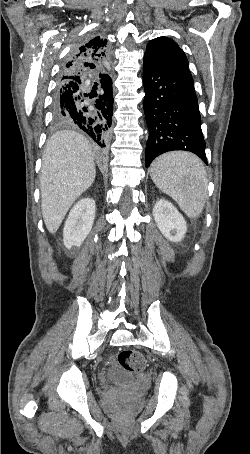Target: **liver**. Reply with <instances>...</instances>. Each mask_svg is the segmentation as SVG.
Wrapping results in <instances>:
<instances>
[{"label":"liver","mask_w":250,"mask_h":454,"mask_svg":"<svg viewBox=\"0 0 250 454\" xmlns=\"http://www.w3.org/2000/svg\"><path fill=\"white\" fill-rule=\"evenodd\" d=\"M95 177L94 153L83 135L62 130L51 136L40 171L41 210L50 233L58 230L72 204Z\"/></svg>","instance_id":"obj_1"}]
</instances>
